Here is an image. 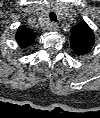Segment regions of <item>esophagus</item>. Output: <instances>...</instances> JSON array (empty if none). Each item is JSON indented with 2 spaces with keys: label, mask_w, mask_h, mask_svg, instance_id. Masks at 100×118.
I'll return each mask as SVG.
<instances>
[{
  "label": "esophagus",
  "mask_w": 100,
  "mask_h": 118,
  "mask_svg": "<svg viewBox=\"0 0 100 118\" xmlns=\"http://www.w3.org/2000/svg\"><path fill=\"white\" fill-rule=\"evenodd\" d=\"M58 29H59V27H58L57 24H51V25H49V27H48V30H49V31H58Z\"/></svg>",
  "instance_id": "1"
}]
</instances>
